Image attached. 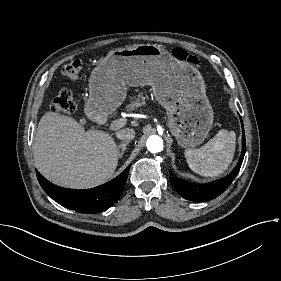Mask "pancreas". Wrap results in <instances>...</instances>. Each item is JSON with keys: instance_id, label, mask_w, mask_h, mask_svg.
I'll return each mask as SVG.
<instances>
[{"instance_id": "obj_1", "label": "pancreas", "mask_w": 281, "mask_h": 281, "mask_svg": "<svg viewBox=\"0 0 281 281\" xmlns=\"http://www.w3.org/2000/svg\"><path fill=\"white\" fill-rule=\"evenodd\" d=\"M138 91V90H136ZM130 99L132 100L131 104H129L127 107V111L128 112H133L135 109L142 107V106H146V100L149 99L148 94L146 92L145 89H143L142 92H139V94L135 97H130Z\"/></svg>"}]
</instances>
